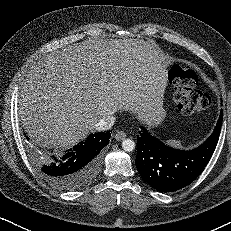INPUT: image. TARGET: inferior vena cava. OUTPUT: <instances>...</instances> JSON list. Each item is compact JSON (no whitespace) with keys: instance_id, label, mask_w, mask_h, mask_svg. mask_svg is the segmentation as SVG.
<instances>
[{"instance_id":"602c4592","label":"inferior vena cava","mask_w":231,"mask_h":231,"mask_svg":"<svg viewBox=\"0 0 231 231\" xmlns=\"http://www.w3.org/2000/svg\"><path fill=\"white\" fill-rule=\"evenodd\" d=\"M115 123V117L114 116H107L104 118H101L96 124L95 129L97 131H105L109 130Z\"/></svg>"}]
</instances>
